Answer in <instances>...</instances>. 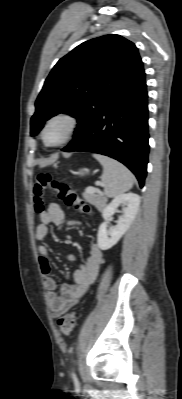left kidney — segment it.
I'll return each instance as SVG.
<instances>
[{
  "mask_svg": "<svg viewBox=\"0 0 182 399\" xmlns=\"http://www.w3.org/2000/svg\"><path fill=\"white\" fill-rule=\"evenodd\" d=\"M140 205V196L135 193L121 194L115 197L102 212L103 222L98 230V247L101 250L112 248L128 230ZM122 206V215L115 227L107 231V225L117 208Z\"/></svg>",
  "mask_w": 182,
  "mask_h": 399,
  "instance_id": "5707ae66",
  "label": "left kidney"
}]
</instances>
